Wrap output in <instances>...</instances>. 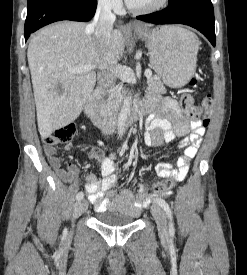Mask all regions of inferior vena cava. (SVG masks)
Wrapping results in <instances>:
<instances>
[{
  "label": "inferior vena cava",
  "instance_id": "1",
  "mask_svg": "<svg viewBox=\"0 0 247 275\" xmlns=\"http://www.w3.org/2000/svg\"><path fill=\"white\" fill-rule=\"evenodd\" d=\"M116 16L112 13V4L110 0H99L93 22L87 26V30L94 33L95 38L105 45H110L113 23ZM111 63L115 64L114 52L108 53ZM99 84L107 92L112 91L114 87V77L108 72L98 74Z\"/></svg>",
  "mask_w": 247,
  "mask_h": 275
}]
</instances>
